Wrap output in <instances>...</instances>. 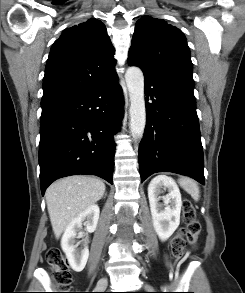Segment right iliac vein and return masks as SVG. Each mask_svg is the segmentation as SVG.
Here are the masks:
<instances>
[{
	"label": "right iliac vein",
	"instance_id": "obj_1",
	"mask_svg": "<svg viewBox=\"0 0 245 293\" xmlns=\"http://www.w3.org/2000/svg\"><path fill=\"white\" fill-rule=\"evenodd\" d=\"M106 286H107V279L102 278L101 280H99L96 289L103 290Z\"/></svg>",
	"mask_w": 245,
	"mask_h": 293
}]
</instances>
